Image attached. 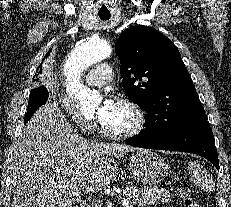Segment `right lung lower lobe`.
Returning a JSON list of instances; mask_svg holds the SVG:
<instances>
[{
	"mask_svg": "<svg viewBox=\"0 0 231 207\" xmlns=\"http://www.w3.org/2000/svg\"><path fill=\"white\" fill-rule=\"evenodd\" d=\"M48 99V91L45 88L40 94L37 95V97L33 98V100H30L27 107V113L24 118V123H27L29 119L32 117V115L35 113V111L41 107Z\"/></svg>",
	"mask_w": 231,
	"mask_h": 207,
	"instance_id": "right-lung-lower-lobe-1",
	"label": "right lung lower lobe"
}]
</instances>
